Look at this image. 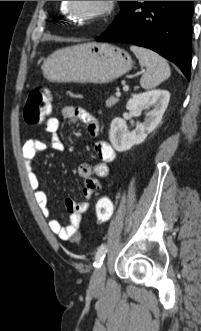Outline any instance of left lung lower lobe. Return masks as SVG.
I'll return each mask as SVG.
<instances>
[{
  "mask_svg": "<svg viewBox=\"0 0 201 331\" xmlns=\"http://www.w3.org/2000/svg\"><path fill=\"white\" fill-rule=\"evenodd\" d=\"M97 41L146 47L175 63L190 79L193 1H123Z\"/></svg>",
  "mask_w": 201,
  "mask_h": 331,
  "instance_id": "0a47b994",
  "label": "left lung lower lobe"
}]
</instances>
